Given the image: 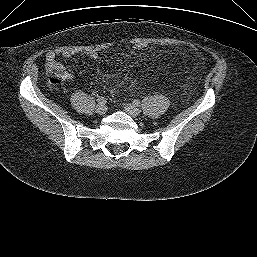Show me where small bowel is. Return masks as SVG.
<instances>
[{"label": "small bowel", "instance_id": "1", "mask_svg": "<svg viewBox=\"0 0 257 257\" xmlns=\"http://www.w3.org/2000/svg\"><path fill=\"white\" fill-rule=\"evenodd\" d=\"M57 56H62L64 58H89V59H95L97 58V53L95 51H76V50H50L46 54V61L47 64L50 62L55 61Z\"/></svg>", "mask_w": 257, "mask_h": 257}]
</instances>
